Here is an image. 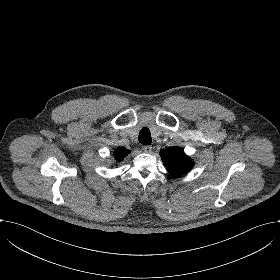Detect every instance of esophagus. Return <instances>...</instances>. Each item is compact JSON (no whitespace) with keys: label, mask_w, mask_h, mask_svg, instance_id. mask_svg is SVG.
<instances>
[{"label":"esophagus","mask_w":280,"mask_h":280,"mask_svg":"<svg viewBox=\"0 0 280 280\" xmlns=\"http://www.w3.org/2000/svg\"><path fill=\"white\" fill-rule=\"evenodd\" d=\"M142 148L145 153H150L152 151L151 145H144Z\"/></svg>","instance_id":"obj_1"}]
</instances>
